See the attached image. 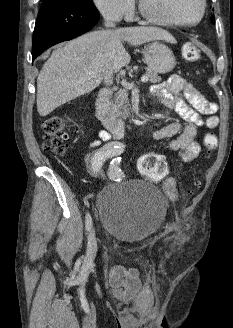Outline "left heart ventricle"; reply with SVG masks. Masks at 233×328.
Wrapping results in <instances>:
<instances>
[{
	"instance_id": "1",
	"label": "left heart ventricle",
	"mask_w": 233,
	"mask_h": 328,
	"mask_svg": "<svg viewBox=\"0 0 233 328\" xmlns=\"http://www.w3.org/2000/svg\"><path fill=\"white\" fill-rule=\"evenodd\" d=\"M155 14L183 22L195 21L201 11L200 0H144Z\"/></svg>"
}]
</instances>
